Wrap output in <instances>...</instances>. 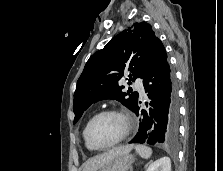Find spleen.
Masks as SVG:
<instances>
[{
  "mask_svg": "<svg viewBox=\"0 0 223 171\" xmlns=\"http://www.w3.org/2000/svg\"><path fill=\"white\" fill-rule=\"evenodd\" d=\"M135 149L142 158L148 159L152 155V149L148 146L138 144L135 146Z\"/></svg>",
  "mask_w": 223,
  "mask_h": 171,
  "instance_id": "spleen-1",
  "label": "spleen"
}]
</instances>
